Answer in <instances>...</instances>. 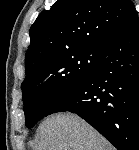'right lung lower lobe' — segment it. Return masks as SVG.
<instances>
[{
    "instance_id": "right-lung-lower-lobe-1",
    "label": "right lung lower lobe",
    "mask_w": 139,
    "mask_h": 150,
    "mask_svg": "<svg viewBox=\"0 0 139 150\" xmlns=\"http://www.w3.org/2000/svg\"><path fill=\"white\" fill-rule=\"evenodd\" d=\"M79 115L118 150H139V18L103 48L90 74L46 113Z\"/></svg>"
}]
</instances>
